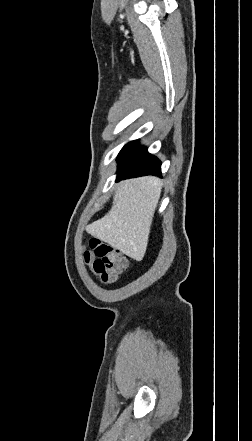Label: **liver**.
<instances>
[{
	"label": "liver",
	"mask_w": 252,
	"mask_h": 441,
	"mask_svg": "<svg viewBox=\"0 0 252 441\" xmlns=\"http://www.w3.org/2000/svg\"><path fill=\"white\" fill-rule=\"evenodd\" d=\"M163 182L152 176L123 181L111 210L86 227L89 234L141 261L146 253L154 213Z\"/></svg>",
	"instance_id": "obj_1"
}]
</instances>
